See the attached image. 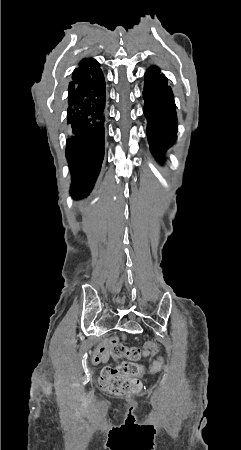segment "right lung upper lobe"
Masks as SVG:
<instances>
[{
	"instance_id": "obj_1",
	"label": "right lung upper lobe",
	"mask_w": 241,
	"mask_h": 450,
	"mask_svg": "<svg viewBox=\"0 0 241 450\" xmlns=\"http://www.w3.org/2000/svg\"><path fill=\"white\" fill-rule=\"evenodd\" d=\"M94 62H95V59H93V58H83V59L80 61L79 65H83V64H92V63H94Z\"/></svg>"
}]
</instances>
